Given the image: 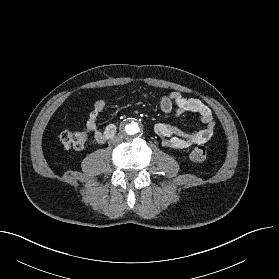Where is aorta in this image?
<instances>
[{"instance_id":"1","label":"aorta","mask_w":279,"mask_h":279,"mask_svg":"<svg viewBox=\"0 0 279 279\" xmlns=\"http://www.w3.org/2000/svg\"><path fill=\"white\" fill-rule=\"evenodd\" d=\"M122 132L126 137H137L141 133V124L137 120H127L122 126Z\"/></svg>"}]
</instances>
